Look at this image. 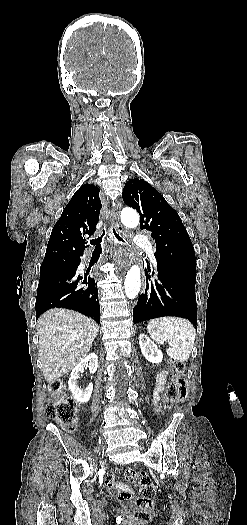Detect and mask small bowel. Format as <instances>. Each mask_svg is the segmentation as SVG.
Returning a JSON list of instances; mask_svg holds the SVG:
<instances>
[{
  "instance_id": "obj_1",
  "label": "small bowel",
  "mask_w": 247,
  "mask_h": 525,
  "mask_svg": "<svg viewBox=\"0 0 247 525\" xmlns=\"http://www.w3.org/2000/svg\"><path fill=\"white\" fill-rule=\"evenodd\" d=\"M168 378V372L167 371H161L157 377H156V388L154 393V399L158 400L159 395L164 391L165 385ZM104 479L106 482L109 483V486L113 487V490H116L117 487L120 488L119 491H114V494H119L122 496H125L126 494H130L132 492V489L127 485H120L119 480L115 479V476L113 473L108 472L105 474ZM120 485V486H119ZM117 500H124V497H117Z\"/></svg>"
}]
</instances>
